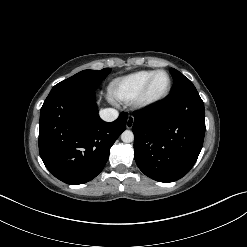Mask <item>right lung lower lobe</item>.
<instances>
[{
  "label": "right lung lower lobe",
  "mask_w": 247,
  "mask_h": 247,
  "mask_svg": "<svg viewBox=\"0 0 247 247\" xmlns=\"http://www.w3.org/2000/svg\"><path fill=\"white\" fill-rule=\"evenodd\" d=\"M127 118V113H121L114 122L102 121L94 91L50 92L40 111L41 159L59 180L71 185L86 183L103 170Z\"/></svg>",
  "instance_id": "1"
}]
</instances>
